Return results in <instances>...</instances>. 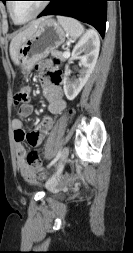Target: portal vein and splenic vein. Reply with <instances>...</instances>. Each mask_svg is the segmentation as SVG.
I'll return each instance as SVG.
<instances>
[{"label":"portal vein and splenic vein","mask_w":133,"mask_h":253,"mask_svg":"<svg viewBox=\"0 0 133 253\" xmlns=\"http://www.w3.org/2000/svg\"><path fill=\"white\" fill-rule=\"evenodd\" d=\"M63 55H64V57H68L70 55V53L66 51L63 53Z\"/></svg>","instance_id":"1"}]
</instances>
